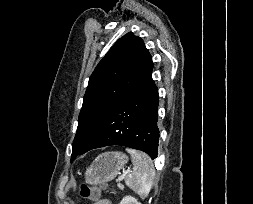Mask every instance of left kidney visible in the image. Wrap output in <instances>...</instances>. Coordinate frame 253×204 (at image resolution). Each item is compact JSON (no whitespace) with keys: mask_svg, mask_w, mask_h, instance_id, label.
Listing matches in <instances>:
<instances>
[{"mask_svg":"<svg viewBox=\"0 0 253 204\" xmlns=\"http://www.w3.org/2000/svg\"><path fill=\"white\" fill-rule=\"evenodd\" d=\"M119 204H141L132 196H126L124 197Z\"/></svg>","mask_w":253,"mask_h":204,"instance_id":"left-kidney-1","label":"left kidney"}]
</instances>
